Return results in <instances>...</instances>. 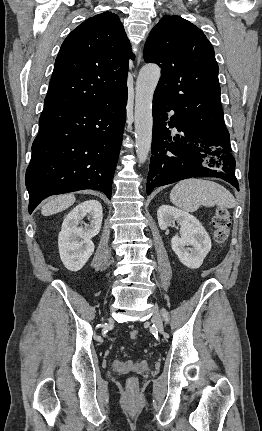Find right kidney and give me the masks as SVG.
<instances>
[{"label": "right kidney", "mask_w": 262, "mask_h": 431, "mask_svg": "<svg viewBox=\"0 0 262 431\" xmlns=\"http://www.w3.org/2000/svg\"><path fill=\"white\" fill-rule=\"evenodd\" d=\"M90 220L88 227H81V219ZM102 206L97 200H86L77 205L65 217L58 236L60 258L70 271L80 270L94 252L92 237L96 236L102 224Z\"/></svg>", "instance_id": "ca27d5eb"}]
</instances>
